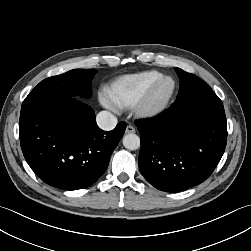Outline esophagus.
I'll use <instances>...</instances> for the list:
<instances>
[{"mask_svg":"<svg viewBox=\"0 0 251 251\" xmlns=\"http://www.w3.org/2000/svg\"><path fill=\"white\" fill-rule=\"evenodd\" d=\"M127 134H131V133H135L136 132V130H135V128L132 126V125H128L127 127H126V131H125Z\"/></svg>","mask_w":251,"mask_h":251,"instance_id":"esophagus-1","label":"esophagus"}]
</instances>
